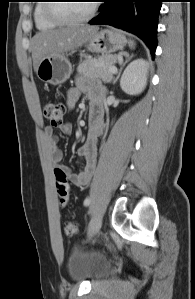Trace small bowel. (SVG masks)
I'll return each mask as SVG.
<instances>
[{
    "label": "small bowel",
    "instance_id": "1",
    "mask_svg": "<svg viewBox=\"0 0 195 299\" xmlns=\"http://www.w3.org/2000/svg\"><path fill=\"white\" fill-rule=\"evenodd\" d=\"M84 93L89 99V123L85 142L77 149V155L82 160L79 173H73L68 167L61 164L63 153L57 146V139L54 135L53 127L47 126L44 129L46 144L50 152L52 163L61 169L70 182L77 187H82L90 180L96 166L97 147L96 140L103 131L102 102L105 89L97 83L80 80L75 88L68 92L67 104L72 108L78 101L80 95ZM61 131L64 134H70L72 125L68 122L61 125Z\"/></svg>",
    "mask_w": 195,
    "mask_h": 299
}]
</instances>
